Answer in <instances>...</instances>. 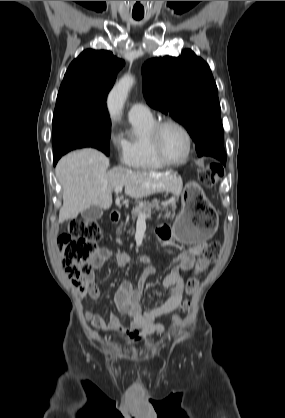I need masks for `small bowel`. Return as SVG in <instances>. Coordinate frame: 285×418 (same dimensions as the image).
<instances>
[{
	"label": "small bowel",
	"instance_id": "small-bowel-1",
	"mask_svg": "<svg viewBox=\"0 0 285 418\" xmlns=\"http://www.w3.org/2000/svg\"><path fill=\"white\" fill-rule=\"evenodd\" d=\"M157 233L166 245H171L169 232L157 230ZM201 251L202 245L198 244L173 259L171 271L162 281L163 287L168 289V295L161 305L142 310V293L155 268L148 257L141 256L139 260L145 267L137 287H133L130 281H123L114 297L118 311L126 316L127 320L124 321L113 314L105 319L92 312H85L84 317L95 330L123 334L132 341H141L148 335L159 333L161 327L156 323L157 318L171 314L181 305L187 292L184 274L194 267L195 259ZM113 256L110 248L103 247L90 259V262L95 269H100ZM115 261L118 267L124 268L129 265L130 257L125 253H118ZM78 289L81 297L89 296L94 300L100 297V292L94 285L85 290Z\"/></svg>",
	"mask_w": 285,
	"mask_h": 418
}]
</instances>
